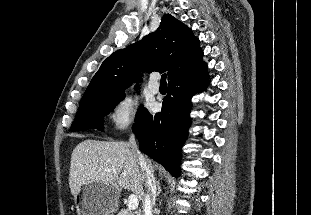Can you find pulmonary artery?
<instances>
[{
    "label": "pulmonary artery",
    "instance_id": "1",
    "mask_svg": "<svg viewBox=\"0 0 311 215\" xmlns=\"http://www.w3.org/2000/svg\"><path fill=\"white\" fill-rule=\"evenodd\" d=\"M157 79H158V76L157 75H153L151 77L150 82H149L148 88H149V91L152 94H157L159 92V85L157 83Z\"/></svg>",
    "mask_w": 311,
    "mask_h": 215
}]
</instances>
